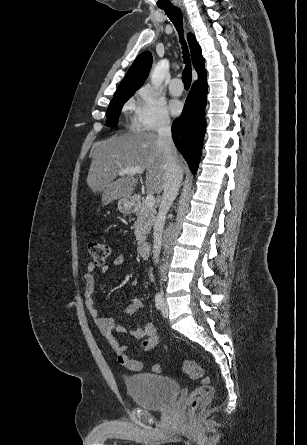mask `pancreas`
I'll return each mask as SVG.
<instances>
[{
    "instance_id": "obj_1",
    "label": "pancreas",
    "mask_w": 307,
    "mask_h": 445,
    "mask_svg": "<svg viewBox=\"0 0 307 445\" xmlns=\"http://www.w3.org/2000/svg\"><path fill=\"white\" fill-rule=\"evenodd\" d=\"M156 208L147 206L145 200L139 202L136 206V220L134 223L135 237L138 245L146 241V235L150 233L155 220Z\"/></svg>"
}]
</instances>
